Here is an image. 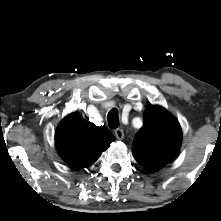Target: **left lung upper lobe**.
Instances as JSON below:
<instances>
[{
	"instance_id": "left-lung-upper-lobe-1",
	"label": "left lung upper lobe",
	"mask_w": 221,
	"mask_h": 221,
	"mask_svg": "<svg viewBox=\"0 0 221 221\" xmlns=\"http://www.w3.org/2000/svg\"><path fill=\"white\" fill-rule=\"evenodd\" d=\"M140 130L143 145L135 143L132 149L136 161L150 171L162 168L174 160L181 145L178 121L161 106H150L143 114Z\"/></svg>"
}]
</instances>
